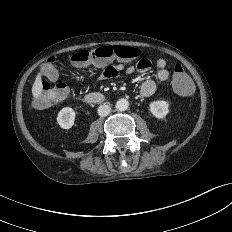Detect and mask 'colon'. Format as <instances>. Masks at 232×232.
<instances>
[{
	"label": "colon",
	"mask_w": 232,
	"mask_h": 232,
	"mask_svg": "<svg viewBox=\"0 0 232 232\" xmlns=\"http://www.w3.org/2000/svg\"><path fill=\"white\" fill-rule=\"evenodd\" d=\"M141 55V50L129 46H101L91 50H81L70 57V63L74 67H85L91 63L105 64L114 59L121 61H132ZM58 59L51 57L42 68L43 80L41 81V91L34 98L33 105L37 109H45L54 101L67 96L69 88L64 83L51 86L50 81L58 78ZM172 85L176 93L181 96H188L193 91V84L189 76L185 73L180 64H176L173 69Z\"/></svg>",
	"instance_id": "1"
}]
</instances>
